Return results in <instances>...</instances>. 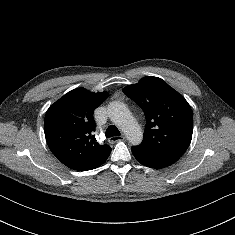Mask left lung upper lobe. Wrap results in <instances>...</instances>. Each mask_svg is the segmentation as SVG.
<instances>
[{
  "label": "left lung upper lobe",
  "instance_id": "obj_1",
  "mask_svg": "<svg viewBox=\"0 0 235 235\" xmlns=\"http://www.w3.org/2000/svg\"><path fill=\"white\" fill-rule=\"evenodd\" d=\"M123 92L144 111L146 128L139 147L181 157L191 143L193 113L185 98L158 77H144Z\"/></svg>",
  "mask_w": 235,
  "mask_h": 235
}]
</instances>
